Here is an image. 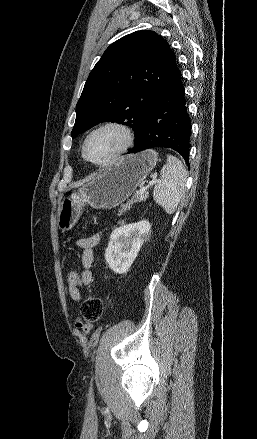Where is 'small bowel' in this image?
<instances>
[{
	"instance_id": "obj_1",
	"label": "small bowel",
	"mask_w": 257,
	"mask_h": 439,
	"mask_svg": "<svg viewBox=\"0 0 257 439\" xmlns=\"http://www.w3.org/2000/svg\"><path fill=\"white\" fill-rule=\"evenodd\" d=\"M99 242V235L94 234L89 237L80 238L76 241V245L80 247L82 251L81 255V267L80 282L77 286L69 285V292L71 297L79 301L81 299L80 288L88 286L92 283L93 276L91 272V266L94 261L93 248ZM91 331V325L89 323L78 320L76 322L75 334L78 336L83 344L87 342V336Z\"/></svg>"
}]
</instances>
